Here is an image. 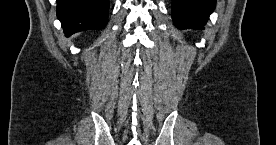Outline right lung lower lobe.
I'll return each mask as SVG.
<instances>
[{
    "label": "right lung lower lobe",
    "instance_id": "obj_1",
    "mask_svg": "<svg viewBox=\"0 0 276 145\" xmlns=\"http://www.w3.org/2000/svg\"><path fill=\"white\" fill-rule=\"evenodd\" d=\"M108 10L109 0H57V17L66 36L104 29Z\"/></svg>",
    "mask_w": 276,
    "mask_h": 145
}]
</instances>
